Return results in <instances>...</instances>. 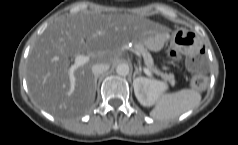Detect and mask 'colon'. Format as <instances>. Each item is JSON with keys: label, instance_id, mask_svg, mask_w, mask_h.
Segmentation results:
<instances>
[{"label": "colon", "instance_id": "5ec220e1", "mask_svg": "<svg viewBox=\"0 0 238 145\" xmlns=\"http://www.w3.org/2000/svg\"><path fill=\"white\" fill-rule=\"evenodd\" d=\"M176 59L178 56L173 54ZM187 68L192 72H197L198 74L193 78V86L197 89H202L207 84V78L203 74L206 69V59L205 52L201 50L200 52L189 57L186 61Z\"/></svg>", "mask_w": 238, "mask_h": 145}]
</instances>
